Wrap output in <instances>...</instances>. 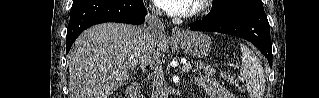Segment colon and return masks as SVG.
<instances>
[{
  "label": "colon",
  "mask_w": 319,
  "mask_h": 98,
  "mask_svg": "<svg viewBox=\"0 0 319 98\" xmlns=\"http://www.w3.org/2000/svg\"><path fill=\"white\" fill-rule=\"evenodd\" d=\"M224 79L229 82L230 84H236L235 79L233 78L232 75H230L229 73H224L223 74Z\"/></svg>",
  "instance_id": "5ec220e1"
}]
</instances>
